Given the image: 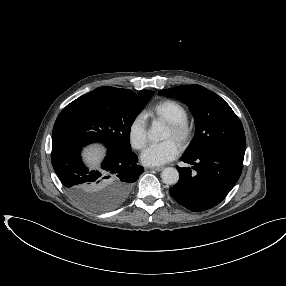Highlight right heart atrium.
Returning <instances> with one entry per match:
<instances>
[{
  "mask_svg": "<svg viewBox=\"0 0 286 286\" xmlns=\"http://www.w3.org/2000/svg\"><path fill=\"white\" fill-rule=\"evenodd\" d=\"M128 138L131 146L142 150L147 143V119L142 113L136 115L129 124Z\"/></svg>",
  "mask_w": 286,
  "mask_h": 286,
  "instance_id": "obj_1",
  "label": "right heart atrium"
}]
</instances>
